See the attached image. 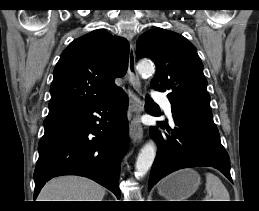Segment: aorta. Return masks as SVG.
Here are the masks:
<instances>
[{
  "label": "aorta",
  "mask_w": 259,
  "mask_h": 211,
  "mask_svg": "<svg viewBox=\"0 0 259 211\" xmlns=\"http://www.w3.org/2000/svg\"><path fill=\"white\" fill-rule=\"evenodd\" d=\"M153 63L142 61L138 64V72L142 75H151L154 72ZM156 156L154 142L146 143L139 152L136 161V176L137 178L144 177L151 168Z\"/></svg>",
  "instance_id": "obj_1"
}]
</instances>
